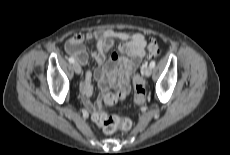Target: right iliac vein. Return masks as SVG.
<instances>
[{
	"instance_id": "obj_1",
	"label": "right iliac vein",
	"mask_w": 230,
	"mask_h": 155,
	"mask_svg": "<svg viewBox=\"0 0 230 155\" xmlns=\"http://www.w3.org/2000/svg\"><path fill=\"white\" fill-rule=\"evenodd\" d=\"M72 66L76 74H81L82 69H81V66L77 62H74Z\"/></svg>"
}]
</instances>
